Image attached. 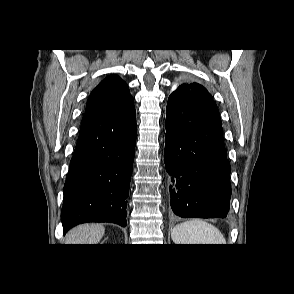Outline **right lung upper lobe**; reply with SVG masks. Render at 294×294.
I'll use <instances>...</instances> for the list:
<instances>
[{
	"label": "right lung upper lobe",
	"mask_w": 294,
	"mask_h": 294,
	"mask_svg": "<svg viewBox=\"0 0 294 294\" xmlns=\"http://www.w3.org/2000/svg\"><path fill=\"white\" fill-rule=\"evenodd\" d=\"M131 98L127 84L118 76L111 75L92 91L85 112L109 111L121 106Z\"/></svg>",
	"instance_id": "obj_1"
}]
</instances>
